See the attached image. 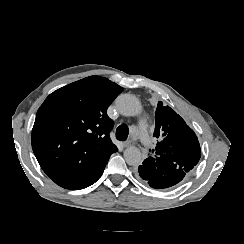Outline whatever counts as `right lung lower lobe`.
<instances>
[{"mask_svg": "<svg viewBox=\"0 0 244 244\" xmlns=\"http://www.w3.org/2000/svg\"><path fill=\"white\" fill-rule=\"evenodd\" d=\"M110 155L111 154L104 157L102 160L89 161L88 164L79 170L57 177L53 179V181L66 189L79 190L86 188L95 183L100 178Z\"/></svg>", "mask_w": 244, "mask_h": 244, "instance_id": "1", "label": "right lung lower lobe"}]
</instances>
